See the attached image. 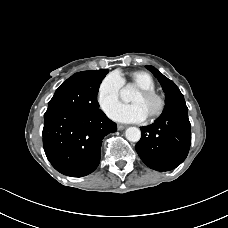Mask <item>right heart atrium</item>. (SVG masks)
I'll list each match as a JSON object with an SVG mask.
<instances>
[{
    "instance_id": "d8ad5b80",
    "label": "right heart atrium",
    "mask_w": 228,
    "mask_h": 228,
    "mask_svg": "<svg viewBox=\"0 0 228 228\" xmlns=\"http://www.w3.org/2000/svg\"><path fill=\"white\" fill-rule=\"evenodd\" d=\"M122 87L123 81L118 73H109L101 80L97 88V102L103 111L118 100Z\"/></svg>"
}]
</instances>
